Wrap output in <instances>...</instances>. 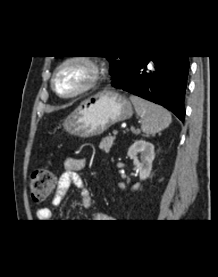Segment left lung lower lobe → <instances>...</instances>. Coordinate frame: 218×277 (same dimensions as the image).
I'll return each mask as SVG.
<instances>
[{
  "instance_id": "left-lung-lower-lobe-1",
  "label": "left lung lower lobe",
  "mask_w": 218,
  "mask_h": 277,
  "mask_svg": "<svg viewBox=\"0 0 218 277\" xmlns=\"http://www.w3.org/2000/svg\"><path fill=\"white\" fill-rule=\"evenodd\" d=\"M188 57L134 55L111 85L160 104L183 121Z\"/></svg>"
}]
</instances>
